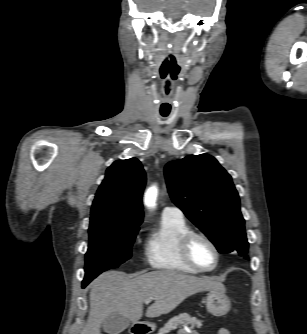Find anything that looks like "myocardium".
Listing matches in <instances>:
<instances>
[{"instance_id": "f54148a6", "label": "myocardium", "mask_w": 307, "mask_h": 334, "mask_svg": "<svg viewBox=\"0 0 307 334\" xmlns=\"http://www.w3.org/2000/svg\"><path fill=\"white\" fill-rule=\"evenodd\" d=\"M195 239L204 240L213 249V251L215 253V262L211 267L203 268V267L199 266L196 263V261L194 260V258L192 256V253H191V247H192V243ZM179 249H180V253H181V256H182L183 260L189 266H191L192 268H194L195 270H197L199 272H211V271L215 270L220 263L221 253H220V250H219L217 244L209 236H207L206 234H204L202 232L190 230L187 233H185L182 236V238L180 239Z\"/></svg>"}]
</instances>
